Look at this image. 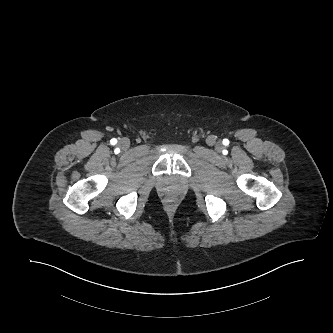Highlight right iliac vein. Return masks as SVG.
Listing matches in <instances>:
<instances>
[{
    "label": "right iliac vein",
    "mask_w": 333,
    "mask_h": 333,
    "mask_svg": "<svg viewBox=\"0 0 333 333\" xmlns=\"http://www.w3.org/2000/svg\"><path fill=\"white\" fill-rule=\"evenodd\" d=\"M120 147L125 150L130 146V141L127 138H123L119 141Z\"/></svg>",
    "instance_id": "right-iliac-vein-1"
}]
</instances>
